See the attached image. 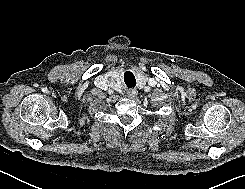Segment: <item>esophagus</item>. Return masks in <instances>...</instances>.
<instances>
[{
	"label": "esophagus",
	"mask_w": 245,
	"mask_h": 189,
	"mask_svg": "<svg viewBox=\"0 0 245 189\" xmlns=\"http://www.w3.org/2000/svg\"><path fill=\"white\" fill-rule=\"evenodd\" d=\"M127 95L129 98H135L138 95V92L136 90H130L127 92Z\"/></svg>",
	"instance_id": "1"
}]
</instances>
